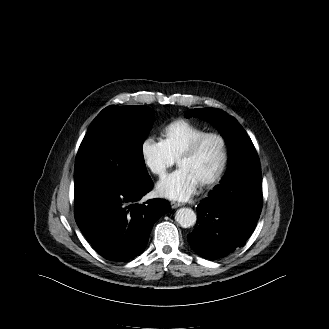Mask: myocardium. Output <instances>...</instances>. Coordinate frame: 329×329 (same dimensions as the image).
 I'll return each instance as SVG.
<instances>
[{"label":"myocardium","mask_w":329,"mask_h":329,"mask_svg":"<svg viewBox=\"0 0 329 329\" xmlns=\"http://www.w3.org/2000/svg\"><path fill=\"white\" fill-rule=\"evenodd\" d=\"M209 138H216L220 142L221 148H222V156H221V160H220L219 166L216 169V171L212 175L203 179L199 183L202 186L211 185V184L217 182L223 176V174L227 168L228 161H229V148H228V142H227L226 137L223 134H221L219 132H215V131L205 132L202 135L195 138L182 151V153L177 158V163H179L182 159L193 156L198 151V149L203 144V142Z\"/></svg>","instance_id":"1"}]
</instances>
